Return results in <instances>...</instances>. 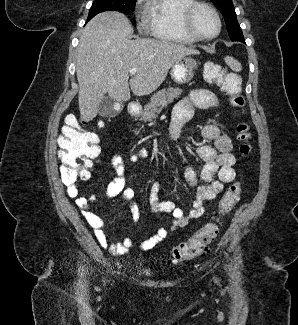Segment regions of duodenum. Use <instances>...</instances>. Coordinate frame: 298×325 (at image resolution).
I'll list each match as a JSON object with an SVG mask.
<instances>
[{
	"label": "duodenum",
	"mask_w": 298,
	"mask_h": 325,
	"mask_svg": "<svg viewBox=\"0 0 298 325\" xmlns=\"http://www.w3.org/2000/svg\"><path fill=\"white\" fill-rule=\"evenodd\" d=\"M129 114L131 116H136L139 112V105L137 103H130L128 107Z\"/></svg>",
	"instance_id": "obj_1"
}]
</instances>
